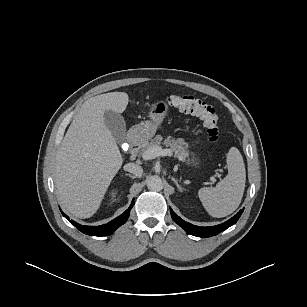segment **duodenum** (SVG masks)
I'll return each mask as SVG.
<instances>
[{"label": "duodenum", "mask_w": 307, "mask_h": 307, "mask_svg": "<svg viewBox=\"0 0 307 307\" xmlns=\"http://www.w3.org/2000/svg\"><path fill=\"white\" fill-rule=\"evenodd\" d=\"M141 146V137L138 133H132L129 136V151H130V158L134 159L135 155L137 154L138 149Z\"/></svg>", "instance_id": "1"}]
</instances>
